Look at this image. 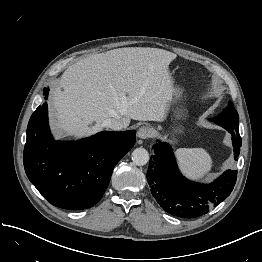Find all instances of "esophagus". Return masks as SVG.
<instances>
[{"label":"esophagus","instance_id":"obj_1","mask_svg":"<svg viewBox=\"0 0 262 262\" xmlns=\"http://www.w3.org/2000/svg\"><path fill=\"white\" fill-rule=\"evenodd\" d=\"M151 129L149 126H142L139 128V130L137 131V136L140 139H148L151 137Z\"/></svg>","mask_w":262,"mask_h":262}]
</instances>
